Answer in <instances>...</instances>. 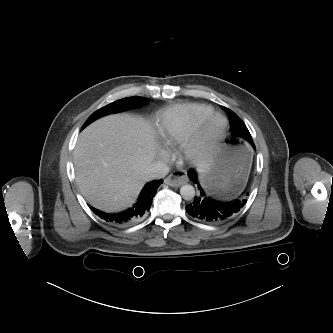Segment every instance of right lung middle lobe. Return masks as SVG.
Wrapping results in <instances>:
<instances>
[{
  "instance_id": "right-lung-middle-lobe-1",
  "label": "right lung middle lobe",
  "mask_w": 333,
  "mask_h": 333,
  "mask_svg": "<svg viewBox=\"0 0 333 333\" xmlns=\"http://www.w3.org/2000/svg\"><path fill=\"white\" fill-rule=\"evenodd\" d=\"M148 99L144 97H128L124 99L117 100L99 110L94 112L88 120L85 122L82 128L90 124L92 121L96 120L97 118H100L102 116H105L110 113H116V112H121L129 108L133 107H140L143 106L147 103Z\"/></svg>"
}]
</instances>
